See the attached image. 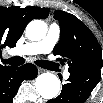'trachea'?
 <instances>
[{
	"instance_id": "3493384b",
	"label": "trachea",
	"mask_w": 103,
	"mask_h": 103,
	"mask_svg": "<svg viewBox=\"0 0 103 103\" xmlns=\"http://www.w3.org/2000/svg\"><path fill=\"white\" fill-rule=\"evenodd\" d=\"M3 62H4V64H9L12 66H19V65H22L24 63V59L20 56H14L10 59H4ZM35 64L42 67V68H45V69L49 68L52 65L51 62L44 61V60H36Z\"/></svg>"
}]
</instances>
